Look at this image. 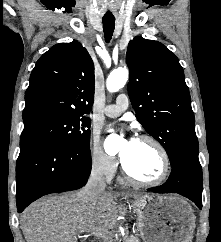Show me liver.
<instances>
[{"label": "liver", "instance_id": "obj_1", "mask_svg": "<svg viewBox=\"0 0 221 242\" xmlns=\"http://www.w3.org/2000/svg\"><path fill=\"white\" fill-rule=\"evenodd\" d=\"M139 198L140 193L103 191L89 198L84 189L61 196H50L25 209L20 226L27 242H77L81 232L111 229L125 213L115 200L120 196Z\"/></svg>", "mask_w": 221, "mask_h": 242}]
</instances>
